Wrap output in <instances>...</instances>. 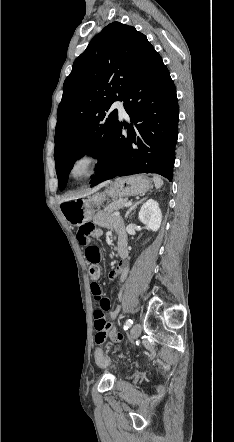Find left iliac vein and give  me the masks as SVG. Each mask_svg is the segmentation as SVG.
<instances>
[{
	"instance_id": "1",
	"label": "left iliac vein",
	"mask_w": 234,
	"mask_h": 442,
	"mask_svg": "<svg viewBox=\"0 0 234 442\" xmlns=\"http://www.w3.org/2000/svg\"><path fill=\"white\" fill-rule=\"evenodd\" d=\"M141 330H142L141 325L138 324V323L135 324V325L132 327V329H131V332H130V339H131V340H134V339L138 338L139 335L141 334Z\"/></svg>"
}]
</instances>
